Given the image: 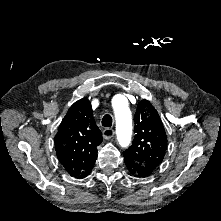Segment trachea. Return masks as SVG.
Wrapping results in <instances>:
<instances>
[{"mask_svg":"<svg viewBox=\"0 0 221 221\" xmlns=\"http://www.w3.org/2000/svg\"><path fill=\"white\" fill-rule=\"evenodd\" d=\"M102 126L104 127L112 126V117L110 115L107 114L102 118Z\"/></svg>","mask_w":221,"mask_h":221,"instance_id":"obj_1","label":"trachea"}]
</instances>
